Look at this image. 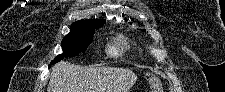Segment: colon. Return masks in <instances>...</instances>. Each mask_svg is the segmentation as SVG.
<instances>
[{
	"label": "colon",
	"instance_id": "1",
	"mask_svg": "<svg viewBox=\"0 0 225 92\" xmlns=\"http://www.w3.org/2000/svg\"><path fill=\"white\" fill-rule=\"evenodd\" d=\"M150 91L151 92H162L161 82L153 76L148 77Z\"/></svg>",
	"mask_w": 225,
	"mask_h": 92
}]
</instances>
